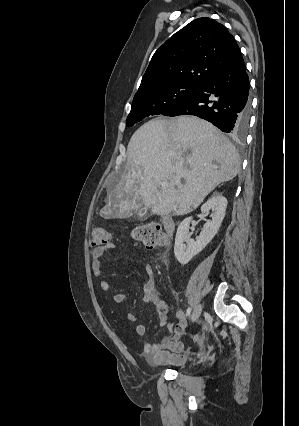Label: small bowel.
<instances>
[{
    "label": "small bowel",
    "mask_w": 299,
    "mask_h": 426,
    "mask_svg": "<svg viewBox=\"0 0 299 426\" xmlns=\"http://www.w3.org/2000/svg\"><path fill=\"white\" fill-rule=\"evenodd\" d=\"M116 252H118V247L111 242L104 247L93 249L91 253V269L95 278H102L103 276V256ZM143 269L147 276V280L143 287V301L147 304L155 305L159 315L160 326L166 327L171 335L160 343L145 344L142 350V357L153 365L181 366L185 363V347L183 343L179 341L186 325L184 314L182 311L176 313V318L178 320L177 325H174L168 320V306L157 293L153 269L149 264H143ZM100 288L103 291H107L110 288V282L107 279H102ZM126 300V294L121 292L116 293L113 297L114 303L118 305H124ZM126 317L131 323L137 324L135 328L137 335H145L146 327L144 324L138 323V317L134 313L128 311Z\"/></svg>",
    "instance_id": "c3829d8e"
}]
</instances>
